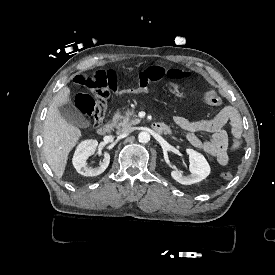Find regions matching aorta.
Wrapping results in <instances>:
<instances>
[{
  "label": "aorta",
  "mask_w": 275,
  "mask_h": 275,
  "mask_svg": "<svg viewBox=\"0 0 275 275\" xmlns=\"http://www.w3.org/2000/svg\"><path fill=\"white\" fill-rule=\"evenodd\" d=\"M138 140L140 143H148L150 141V134L146 131L140 132L138 134Z\"/></svg>",
  "instance_id": "obj_1"
}]
</instances>
